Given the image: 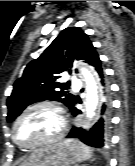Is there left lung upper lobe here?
<instances>
[{"mask_svg":"<svg viewBox=\"0 0 135 166\" xmlns=\"http://www.w3.org/2000/svg\"><path fill=\"white\" fill-rule=\"evenodd\" d=\"M98 54L88 35L76 27L64 29L41 54L25 68L14 83L7 99V121L12 122L28 105L43 100H54L71 107L75 96L68 94L70 81H57L61 73L72 67L74 59L91 63Z\"/></svg>","mask_w":135,"mask_h":166,"instance_id":"left-lung-upper-lobe-1","label":"left lung upper lobe"}]
</instances>
